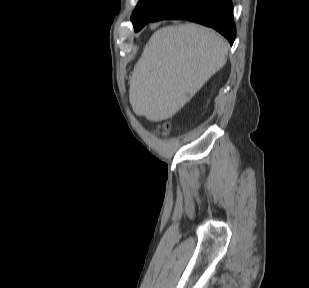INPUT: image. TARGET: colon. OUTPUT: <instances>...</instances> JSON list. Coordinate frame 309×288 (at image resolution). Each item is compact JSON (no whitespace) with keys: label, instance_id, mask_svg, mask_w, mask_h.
<instances>
[{"label":"colon","instance_id":"obj_1","mask_svg":"<svg viewBox=\"0 0 309 288\" xmlns=\"http://www.w3.org/2000/svg\"><path fill=\"white\" fill-rule=\"evenodd\" d=\"M155 132H156L157 134L162 135V136H167V135H169V133H170V126H169V124H168L167 122H165V123H163V124L157 126V127L155 128Z\"/></svg>","mask_w":309,"mask_h":288}]
</instances>
